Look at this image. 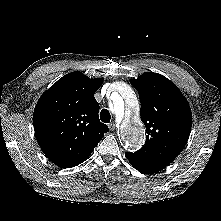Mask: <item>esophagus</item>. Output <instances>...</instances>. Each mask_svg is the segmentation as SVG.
Returning <instances> with one entry per match:
<instances>
[{
  "instance_id": "obj_1",
  "label": "esophagus",
  "mask_w": 221,
  "mask_h": 221,
  "mask_svg": "<svg viewBox=\"0 0 221 221\" xmlns=\"http://www.w3.org/2000/svg\"><path fill=\"white\" fill-rule=\"evenodd\" d=\"M108 127L111 131H114L115 130V123L114 122L109 123Z\"/></svg>"
}]
</instances>
